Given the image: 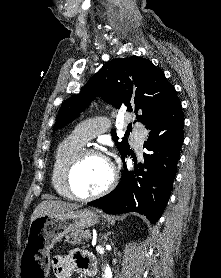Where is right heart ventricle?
Masks as SVG:
<instances>
[{"instance_id": "right-heart-ventricle-1", "label": "right heart ventricle", "mask_w": 221, "mask_h": 278, "mask_svg": "<svg viewBox=\"0 0 221 278\" xmlns=\"http://www.w3.org/2000/svg\"><path fill=\"white\" fill-rule=\"evenodd\" d=\"M84 144L71 135L64 139L56 149L52 165L51 183L56 193L63 198H71L64 183L65 168L69 160L82 149Z\"/></svg>"}]
</instances>
